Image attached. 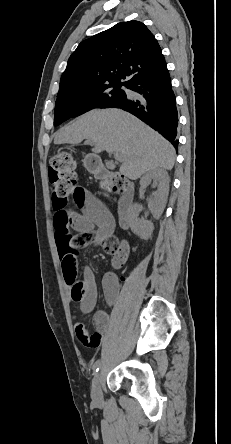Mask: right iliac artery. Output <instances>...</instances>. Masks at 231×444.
Here are the masks:
<instances>
[{
	"mask_svg": "<svg viewBox=\"0 0 231 444\" xmlns=\"http://www.w3.org/2000/svg\"><path fill=\"white\" fill-rule=\"evenodd\" d=\"M100 367V360L98 359L95 364L93 365V374L96 375L99 371Z\"/></svg>",
	"mask_w": 231,
	"mask_h": 444,
	"instance_id": "obj_1",
	"label": "right iliac artery"
}]
</instances>
